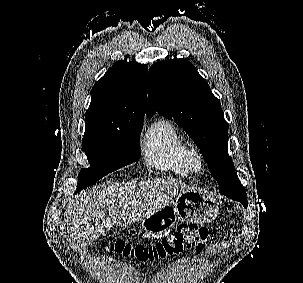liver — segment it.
Segmentation results:
<instances>
[{
  "instance_id": "liver-1",
  "label": "liver",
  "mask_w": 303,
  "mask_h": 283,
  "mask_svg": "<svg viewBox=\"0 0 303 283\" xmlns=\"http://www.w3.org/2000/svg\"><path fill=\"white\" fill-rule=\"evenodd\" d=\"M194 190L176 180L149 179L124 185L106 182L82 191L68 206L65 223L76 248H85L121 219L131 224L153 215L173 198Z\"/></svg>"
}]
</instances>
